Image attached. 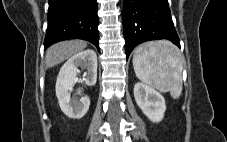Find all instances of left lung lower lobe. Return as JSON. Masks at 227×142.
Masks as SVG:
<instances>
[{
  "instance_id": "1",
  "label": "left lung lower lobe",
  "mask_w": 227,
  "mask_h": 142,
  "mask_svg": "<svg viewBox=\"0 0 227 142\" xmlns=\"http://www.w3.org/2000/svg\"><path fill=\"white\" fill-rule=\"evenodd\" d=\"M127 59L140 43L168 39L180 47L167 0H124L122 11Z\"/></svg>"
}]
</instances>
